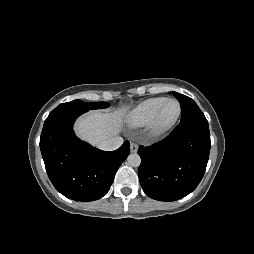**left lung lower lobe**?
<instances>
[{
	"instance_id": "1",
	"label": "left lung lower lobe",
	"mask_w": 254,
	"mask_h": 254,
	"mask_svg": "<svg viewBox=\"0 0 254 254\" xmlns=\"http://www.w3.org/2000/svg\"><path fill=\"white\" fill-rule=\"evenodd\" d=\"M210 145L208 122L189 121L162 141L140 146L138 176L144 192L159 201H175L191 193L204 175Z\"/></svg>"
}]
</instances>
